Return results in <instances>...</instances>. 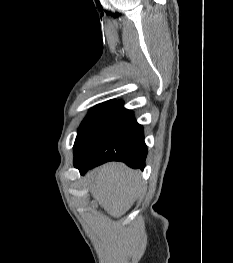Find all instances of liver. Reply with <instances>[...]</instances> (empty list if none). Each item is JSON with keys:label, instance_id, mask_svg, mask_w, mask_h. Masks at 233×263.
Masks as SVG:
<instances>
[{"label": "liver", "instance_id": "6515ba94", "mask_svg": "<svg viewBox=\"0 0 233 263\" xmlns=\"http://www.w3.org/2000/svg\"><path fill=\"white\" fill-rule=\"evenodd\" d=\"M142 190L140 172L129 169L123 163H107L94 172L92 195L112 217L125 214Z\"/></svg>", "mask_w": 233, "mask_h": 263}]
</instances>
